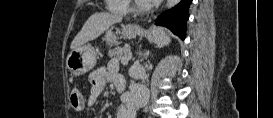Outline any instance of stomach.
<instances>
[{
	"label": "stomach",
	"mask_w": 273,
	"mask_h": 118,
	"mask_svg": "<svg viewBox=\"0 0 273 118\" xmlns=\"http://www.w3.org/2000/svg\"><path fill=\"white\" fill-rule=\"evenodd\" d=\"M140 32V28L135 25H127L122 28L121 34L125 38H135ZM108 45H114L117 43V35L112 31L108 30L105 33V38ZM96 51L90 44L81 45L73 49L66 58V67L74 76H80L96 65Z\"/></svg>",
	"instance_id": "1"
}]
</instances>
